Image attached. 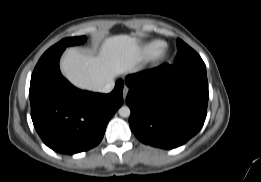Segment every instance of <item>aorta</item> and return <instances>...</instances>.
Returning <instances> with one entry per match:
<instances>
[{
    "mask_svg": "<svg viewBox=\"0 0 261 182\" xmlns=\"http://www.w3.org/2000/svg\"><path fill=\"white\" fill-rule=\"evenodd\" d=\"M118 112H119V115H120L121 117H123V118L129 117V116H130V113H131L130 108H129L128 106H122V107L118 110Z\"/></svg>",
    "mask_w": 261,
    "mask_h": 182,
    "instance_id": "762f6f07",
    "label": "aorta"
}]
</instances>
